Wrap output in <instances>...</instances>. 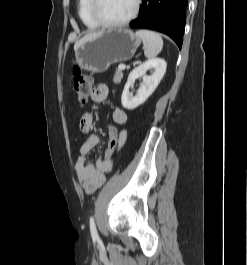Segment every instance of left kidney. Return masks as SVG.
Returning <instances> with one entry per match:
<instances>
[{
    "label": "left kidney",
    "mask_w": 247,
    "mask_h": 265,
    "mask_svg": "<svg viewBox=\"0 0 247 265\" xmlns=\"http://www.w3.org/2000/svg\"><path fill=\"white\" fill-rule=\"evenodd\" d=\"M166 67L167 63L164 59L153 58L145 61L131 71L122 93V106L127 110H133L144 103L162 80L166 72ZM148 70H153L149 76L146 75ZM139 77H142L144 83L139 87L136 95L133 96V94L129 92V89Z\"/></svg>",
    "instance_id": "5707ae66"
}]
</instances>
